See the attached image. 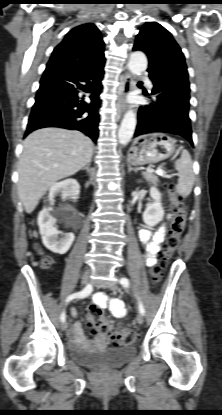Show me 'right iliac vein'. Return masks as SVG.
<instances>
[{"mask_svg":"<svg viewBox=\"0 0 222 415\" xmlns=\"http://www.w3.org/2000/svg\"><path fill=\"white\" fill-rule=\"evenodd\" d=\"M88 281H89L88 274H84L81 279V284L85 286L87 285ZM67 328H68V324L66 322H63L61 325V329L65 331L67 330Z\"/></svg>","mask_w":222,"mask_h":415,"instance_id":"right-iliac-vein-1","label":"right iliac vein"}]
</instances>
